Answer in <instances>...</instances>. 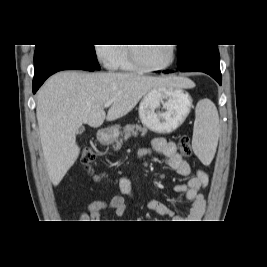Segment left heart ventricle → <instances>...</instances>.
Returning a JSON list of instances; mask_svg holds the SVG:
<instances>
[{
  "instance_id": "b2bd125f",
  "label": "left heart ventricle",
  "mask_w": 267,
  "mask_h": 267,
  "mask_svg": "<svg viewBox=\"0 0 267 267\" xmlns=\"http://www.w3.org/2000/svg\"><path fill=\"white\" fill-rule=\"evenodd\" d=\"M139 59L148 66H162L171 58V48L169 44L157 46H136Z\"/></svg>"
}]
</instances>
